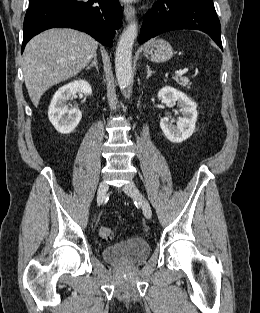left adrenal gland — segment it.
Instances as JSON below:
<instances>
[{"label":"left adrenal gland","mask_w":260,"mask_h":313,"mask_svg":"<svg viewBox=\"0 0 260 313\" xmlns=\"http://www.w3.org/2000/svg\"><path fill=\"white\" fill-rule=\"evenodd\" d=\"M146 67H147V76H146V78L148 79L152 75V73H154V71H152L148 65Z\"/></svg>","instance_id":"1"}]
</instances>
